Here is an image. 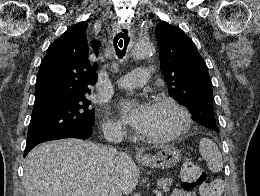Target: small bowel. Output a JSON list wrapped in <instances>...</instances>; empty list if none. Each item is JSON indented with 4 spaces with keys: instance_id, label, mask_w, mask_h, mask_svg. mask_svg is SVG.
<instances>
[{
    "instance_id": "1",
    "label": "small bowel",
    "mask_w": 260,
    "mask_h": 196,
    "mask_svg": "<svg viewBox=\"0 0 260 196\" xmlns=\"http://www.w3.org/2000/svg\"><path fill=\"white\" fill-rule=\"evenodd\" d=\"M172 196H194V193L192 192H186L184 190H181V189H176Z\"/></svg>"
}]
</instances>
